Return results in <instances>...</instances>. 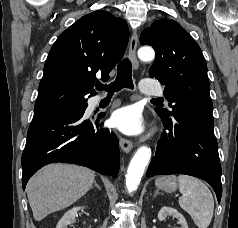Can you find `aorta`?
<instances>
[{"label": "aorta", "mask_w": 238, "mask_h": 228, "mask_svg": "<svg viewBox=\"0 0 238 228\" xmlns=\"http://www.w3.org/2000/svg\"><path fill=\"white\" fill-rule=\"evenodd\" d=\"M138 57L141 61L149 62L154 59L155 52L151 47H141L138 50ZM150 158L151 149L146 145L141 146L134 154L126 174V187L129 193L137 190Z\"/></svg>", "instance_id": "1"}]
</instances>
